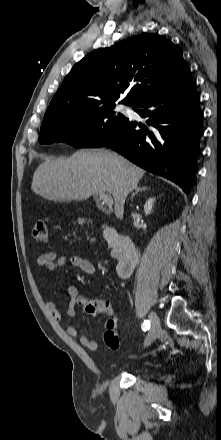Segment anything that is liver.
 Here are the masks:
<instances>
[{
    "instance_id": "6515ba94",
    "label": "liver",
    "mask_w": 221,
    "mask_h": 440,
    "mask_svg": "<svg viewBox=\"0 0 221 440\" xmlns=\"http://www.w3.org/2000/svg\"><path fill=\"white\" fill-rule=\"evenodd\" d=\"M145 171L105 149L80 150L68 159H46L34 172L32 191L50 201L87 200L112 194L121 219L125 200Z\"/></svg>"
}]
</instances>
